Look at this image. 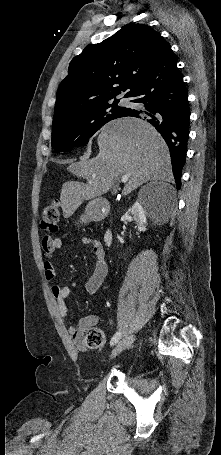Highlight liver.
<instances>
[{
  "instance_id": "liver-1",
  "label": "liver",
  "mask_w": 221,
  "mask_h": 455,
  "mask_svg": "<svg viewBox=\"0 0 221 455\" xmlns=\"http://www.w3.org/2000/svg\"><path fill=\"white\" fill-rule=\"evenodd\" d=\"M99 153L93 159L69 165V171L87 183L67 181L60 193L64 218H69L84 200L106 194L115 179L128 175L123 195L154 180H172L168 147L146 121L123 117L107 123L97 138Z\"/></svg>"
}]
</instances>
